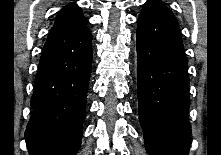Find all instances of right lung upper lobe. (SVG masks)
<instances>
[{
	"mask_svg": "<svg viewBox=\"0 0 221 155\" xmlns=\"http://www.w3.org/2000/svg\"><path fill=\"white\" fill-rule=\"evenodd\" d=\"M86 18L82 10L75 3L66 5L57 15L51 31L72 29L85 24Z\"/></svg>",
	"mask_w": 221,
	"mask_h": 155,
	"instance_id": "obj_1",
	"label": "right lung upper lobe"
}]
</instances>
